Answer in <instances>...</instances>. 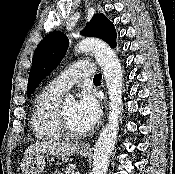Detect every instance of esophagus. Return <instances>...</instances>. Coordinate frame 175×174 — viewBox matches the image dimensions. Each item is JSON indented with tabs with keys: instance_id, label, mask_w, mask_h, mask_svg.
<instances>
[{
	"instance_id": "esophagus-1",
	"label": "esophagus",
	"mask_w": 175,
	"mask_h": 174,
	"mask_svg": "<svg viewBox=\"0 0 175 174\" xmlns=\"http://www.w3.org/2000/svg\"><path fill=\"white\" fill-rule=\"evenodd\" d=\"M104 105H105V109H107V94L105 93V98H104ZM84 149H90V145L89 144H84L82 146Z\"/></svg>"
}]
</instances>
